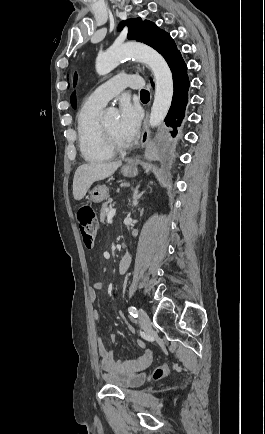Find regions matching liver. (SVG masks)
<instances>
[{"label": "liver", "mask_w": 265, "mask_h": 434, "mask_svg": "<svg viewBox=\"0 0 265 434\" xmlns=\"http://www.w3.org/2000/svg\"><path fill=\"white\" fill-rule=\"evenodd\" d=\"M121 164L122 162H109V164H83V166H79L73 180L74 200H82L93 182L109 178Z\"/></svg>", "instance_id": "liver-1"}]
</instances>
